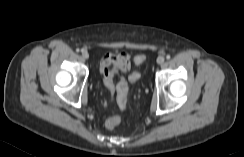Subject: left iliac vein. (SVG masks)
Wrapping results in <instances>:
<instances>
[{
    "mask_svg": "<svg viewBox=\"0 0 244 157\" xmlns=\"http://www.w3.org/2000/svg\"><path fill=\"white\" fill-rule=\"evenodd\" d=\"M164 61H165V59H164V57H162V56H160V57L157 58V63H158V64H163Z\"/></svg>",
    "mask_w": 244,
    "mask_h": 157,
    "instance_id": "4c4485c4",
    "label": "left iliac vein"
}]
</instances>
